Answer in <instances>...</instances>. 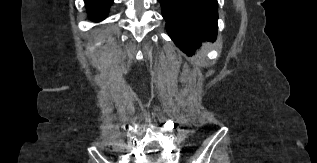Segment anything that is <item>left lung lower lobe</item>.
I'll use <instances>...</instances> for the list:
<instances>
[{"label":"left lung lower lobe","mask_w":317,"mask_h":163,"mask_svg":"<svg viewBox=\"0 0 317 163\" xmlns=\"http://www.w3.org/2000/svg\"><path fill=\"white\" fill-rule=\"evenodd\" d=\"M170 38L185 53L217 36V0H158Z\"/></svg>","instance_id":"obj_1"}]
</instances>
